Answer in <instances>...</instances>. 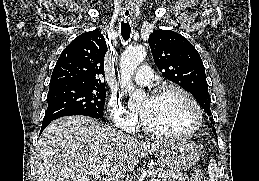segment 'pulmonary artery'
Returning <instances> with one entry per match:
<instances>
[{
    "label": "pulmonary artery",
    "mask_w": 259,
    "mask_h": 181,
    "mask_svg": "<svg viewBox=\"0 0 259 181\" xmlns=\"http://www.w3.org/2000/svg\"><path fill=\"white\" fill-rule=\"evenodd\" d=\"M133 80L139 85H149L152 83V70L149 66L143 65L139 72L133 77Z\"/></svg>",
    "instance_id": "e3ab8cb5"
}]
</instances>
